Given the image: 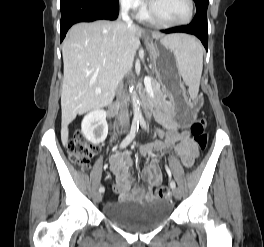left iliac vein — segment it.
<instances>
[{
    "label": "left iliac vein",
    "mask_w": 264,
    "mask_h": 247,
    "mask_svg": "<svg viewBox=\"0 0 264 247\" xmlns=\"http://www.w3.org/2000/svg\"><path fill=\"white\" fill-rule=\"evenodd\" d=\"M173 195L176 199H180L181 198V191L178 188H176L173 190Z\"/></svg>",
    "instance_id": "4c4485c4"
}]
</instances>
